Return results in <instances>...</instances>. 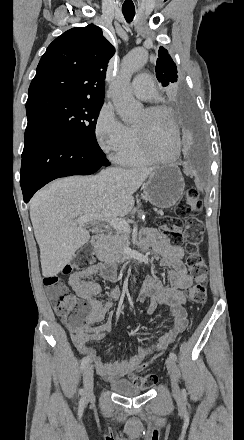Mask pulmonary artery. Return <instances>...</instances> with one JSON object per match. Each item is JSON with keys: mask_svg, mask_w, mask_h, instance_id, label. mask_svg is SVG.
I'll use <instances>...</instances> for the list:
<instances>
[{"mask_svg": "<svg viewBox=\"0 0 244 440\" xmlns=\"http://www.w3.org/2000/svg\"><path fill=\"white\" fill-rule=\"evenodd\" d=\"M139 75L133 76L134 89L133 94L142 101H148L156 98V91L154 90V83L151 82V77L148 75L147 69H140Z\"/></svg>", "mask_w": 244, "mask_h": 440, "instance_id": "e3ab8cb5", "label": "pulmonary artery"}]
</instances>
